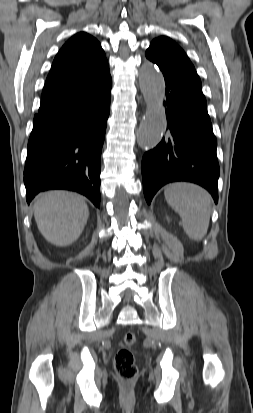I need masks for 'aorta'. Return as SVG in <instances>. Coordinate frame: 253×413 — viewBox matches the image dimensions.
<instances>
[{"instance_id":"obj_1","label":"aorta","mask_w":253,"mask_h":413,"mask_svg":"<svg viewBox=\"0 0 253 413\" xmlns=\"http://www.w3.org/2000/svg\"><path fill=\"white\" fill-rule=\"evenodd\" d=\"M139 85L147 111L137 132V142L142 148H153L166 129L164 77L151 63H145L140 69Z\"/></svg>"}]
</instances>
